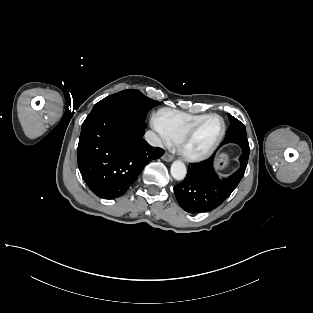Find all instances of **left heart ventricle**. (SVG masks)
<instances>
[{
    "mask_svg": "<svg viewBox=\"0 0 313 313\" xmlns=\"http://www.w3.org/2000/svg\"><path fill=\"white\" fill-rule=\"evenodd\" d=\"M221 130V120L217 117L209 118L191 137L187 144V150L194 154L208 151L218 139Z\"/></svg>",
    "mask_w": 313,
    "mask_h": 313,
    "instance_id": "1",
    "label": "left heart ventricle"
}]
</instances>
